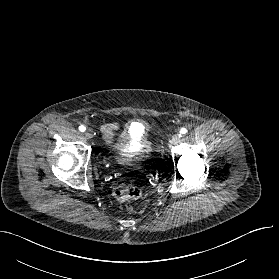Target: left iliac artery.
<instances>
[{
    "instance_id": "obj_1",
    "label": "left iliac artery",
    "mask_w": 279,
    "mask_h": 279,
    "mask_svg": "<svg viewBox=\"0 0 279 279\" xmlns=\"http://www.w3.org/2000/svg\"><path fill=\"white\" fill-rule=\"evenodd\" d=\"M181 134H186L187 133V129L186 128H182L180 131Z\"/></svg>"
}]
</instances>
